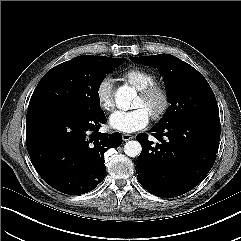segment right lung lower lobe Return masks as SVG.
<instances>
[{
	"label": "right lung lower lobe",
	"mask_w": 241,
	"mask_h": 241,
	"mask_svg": "<svg viewBox=\"0 0 241 241\" xmlns=\"http://www.w3.org/2000/svg\"><path fill=\"white\" fill-rule=\"evenodd\" d=\"M104 112L85 115L50 107L27 112L29 156L41 178L69 195L92 191L105 178L104 153L122 144V136L100 133Z\"/></svg>",
	"instance_id": "98d812e1"
}]
</instances>
